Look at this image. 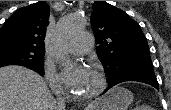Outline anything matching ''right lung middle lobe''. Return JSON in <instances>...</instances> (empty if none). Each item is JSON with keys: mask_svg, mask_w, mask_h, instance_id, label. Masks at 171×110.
Instances as JSON below:
<instances>
[{"mask_svg": "<svg viewBox=\"0 0 171 110\" xmlns=\"http://www.w3.org/2000/svg\"><path fill=\"white\" fill-rule=\"evenodd\" d=\"M45 50L27 48L15 43H0V67L20 65L44 75Z\"/></svg>", "mask_w": 171, "mask_h": 110, "instance_id": "1", "label": "right lung middle lobe"}]
</instances>
